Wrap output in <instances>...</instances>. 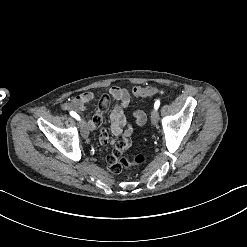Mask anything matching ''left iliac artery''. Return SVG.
Here are the masks:
<instances>
[{
    "mask_svg": "<svg viewBox=\"0 0 247 247\" xmlns=\"http://www.w3.org/2000/svg\"><path fill=\"white\" fill-rule=\"evenodd\" d=\"M160 106V101L156 100L155 104H154V108L157 110Z\"/></svg>",
    "mask_w": 247,
    "mask_h": 247,
    "instance_id": "obj_1",
    "label": "left iliac artery"
}]
</instances>
